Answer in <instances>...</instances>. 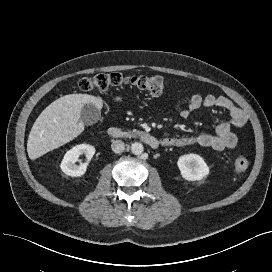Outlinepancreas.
<instances>
[{
  "instance_id": "pancreas-1",
  "label": "pancreas",
  "mask_w": 272,
  "mask_h": 272,
  "mask_svg": "<svg viewBox=\"0 0 272 272\" xmlns=\"http://www.w3.org/2000/svg\"><path fill=\"white\" fill-rule=\"evenodd\" d=\"M141 134H142V131H139V130H136V129H133L132 131L128 130V131H125L123 133L124 137H127V138L137 137V136H139Z\"/></svg>"
}]
</instances>
